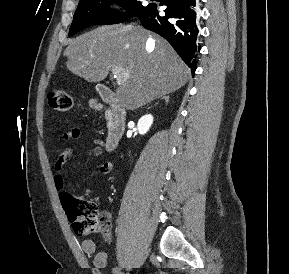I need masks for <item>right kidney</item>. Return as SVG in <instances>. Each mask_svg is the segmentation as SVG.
Returning a JSON list of instances; mask_svg holds the SVG:
<instances>
[{"instance_id":"1","label":"right kidney","mask_w":289,"mask_h":274,"mask_svg":"<svg viewBox=\"0 0 289 274\" xmlns=\"http://www.w3.org/2000/svg\"><path fill=\"white\" fill-rule=\"evenodd\" d=\"M152 123H153V116L151 114H146L142 116L137 123L139 134L143 135L147 133Z\"/></svg>"}]
</instances>
